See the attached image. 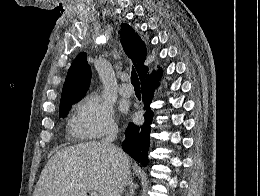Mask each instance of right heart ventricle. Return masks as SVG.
Masks as SVG:
<instances>
[{
  "label": "right heart ventricle",
  "mask_w": 260,
  "mask_h": 196,
  "mask_svg": "<svg viewBox=\"0 0 260 196\" xmlns=\"http://www.w3.org/2000/svg\"><path fill=\"white\" fill-rule=\"evenodd\" d=\"M84 190H66V192H83Z\"/></svg>",
  "instance_id": "obj_1"
}]
</instances>
